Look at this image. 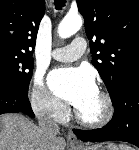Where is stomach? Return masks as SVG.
<instances>
[{
  "label": "stomach",
  "instance_id": "obj_1",
  "mask_svg": "<svg viewBox=\"0 0 139 150\" xmlns=\"http://www.w3.org/2000/svg\"><path fill=\"white\" fill-rule=\"evenodd\" d=\"M73 150H119L115 145L111 143H100L85 148H75Z\"/></svg>",
  "mask_w": 139,
  "mask_h": 150
}]
</instances>
